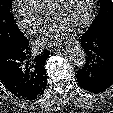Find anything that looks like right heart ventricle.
I'll list each match as a JSON object with an SVG mask.
<instances>
[{
	"label": "right heart ventricle",
	"mask_w": 113,
	"mask_h": 113,
	"mask_svg": "<svg viewBox=\"0 0 113 113\" xmlns=\"http://www.w3.org/2000/svg\"><path fill=\"white\" fill-rule=\"evenodd\" d=\"M25 1L40 13L46 15L50 2L52 0H25Z\"/></svg>",
	"instance_id": "obj_1"
}]
</instances>
